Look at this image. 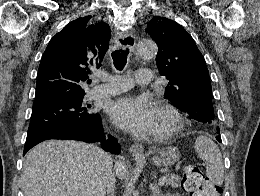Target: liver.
<instances>
[{
	"label": "liver",
	"mask_w": 260,
	"mask_h": 196,
	"mask_svg": "<svg viewBox=\"0 0 260 196\" xmlns=\"http://www.w3.org/2000/svg\"><path fill=\"white\" fill-rule=\"evenodd\" d=\"M106 152L94 144L46 140L26 154L22 168L24 196H97L105 194ZM116 176L127 178L126 164L116 162Z\"/></svg>",
	"instance_id": "6515ba94"
}]
</instances>
